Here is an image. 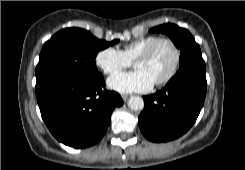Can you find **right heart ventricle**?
Here are the masks:
<instances>
[{
	"label": "right heart ventricle",
	"mask_w": 245,
	"mask_h": 170,
	"mask_svg": "<svg viewBox=\"0 0 245 170\" xmlns=\"http://www.w3.org/2000/svg\"><path fill=\"white\" fill-rule=\"evenodd\" d=\"M157 38L159 37L155 35L140 37L127 43L122 51L130 61H133L141 51Z\"/></svg>",
	"instance_id": "1"
}]
</instances>
